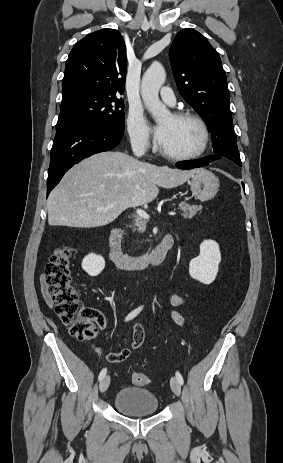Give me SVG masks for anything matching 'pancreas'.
I'll return each instance as SVG.
<instances>
[{
    "mask_svg": "<svg viewBox=\"0 0 283 463\" xmlns=\"http://www.w3.org/2000/svg\"><path fill=\"white\" fill-rule=\"evenodd\" d=\"M179 209L183 212L181 215L183 218H193L197 212L202 210V206H197V205H190L185 202H181L179 204ZM146 226V222L142 220L141 218L135 219L133 230H136V227L138 228V231L144 232Z\"/></svg>",
    "mask_w": 283,
    "mask_h": 463,
    "instance_id": "pancreas-1",
    "label": "pancreas"
}]
</instances>
